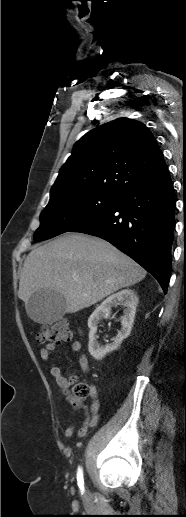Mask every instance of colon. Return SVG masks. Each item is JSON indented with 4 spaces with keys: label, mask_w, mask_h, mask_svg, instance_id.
<instances>
[{
    "label": "colon",
    "mask_w": 186,
    "mask_h": 517,
    "mask_svg": "<svg viewBox=\"0 0 186 517\" xmlns=\"http://www.w3.org/2000/svg\"><path fill=\"white\" fill-rule=\"evenodd\" d=\"M71 331L66 321H59L51 325H44L37 333L36 338L40 343H54L66 340L70 337ZM74 379V377H71ZM93 395L92 388L86 383H75L73 386V397L77 400H84Z\"/></svg>",
    "instance_id": "obj_1"
}]
</instances>
